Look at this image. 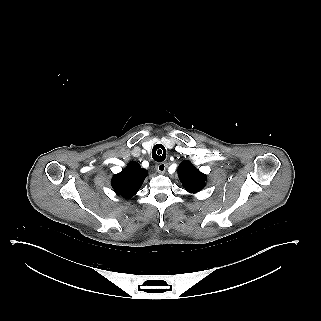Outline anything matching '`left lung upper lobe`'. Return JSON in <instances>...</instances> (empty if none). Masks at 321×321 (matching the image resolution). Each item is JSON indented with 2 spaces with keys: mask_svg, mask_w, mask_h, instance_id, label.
<instances>
[{
  "mask_svg": "<svg viewBox=\"0 0 321 321\" xmlns=\"http://www.w3.org/2000/svg\"><path fill=\"white\" fill-rule=\"evenodd\" d=\"M179 179L190 193L201 191L206 185V175L197 170L190 161H183L178 169Z\"/></svg>",
  "mask_w": 321,
  "mask_h": 321,
  "instance_id": "left-lung-upper-lobe-1",
  "label": "left lung upper lobe"
}]
</instances>
